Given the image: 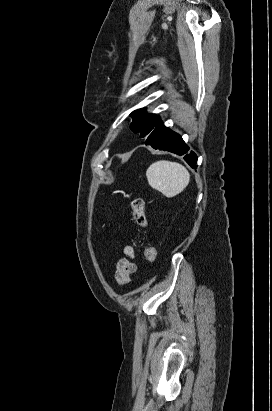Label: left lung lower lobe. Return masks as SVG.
Here are the masks:
<instances>
[{
  "instance_id": "obj_1",
  "label": "left lung lower lobe",
  "mask_w": 272,
  "mask_h": 411,
  "mask_svg": "<svg viewBox=\"0 0 272 411\" xmlns=\"http://www.w3.org/2000/svg\"><path fill=\"white\" fill-rule=\"evenodd\" d=\"M146 145H151L154 149L169 151L177 155H184L189 151V147L185 144L181 136L164 125L148 135ZM184 160L192 168H197V156L193 152L185 155Z\"/></svg>"
}]
</instances>
